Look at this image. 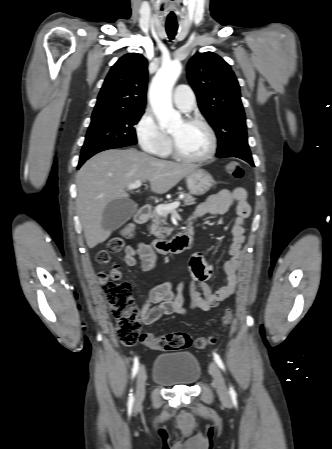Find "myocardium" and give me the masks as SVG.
<instances>
[{
  "mask_svg": "<svg viewBox=\"0 0 332 449\" xmlns=\"http://www.w3.org/2000/svg\"><path fill=\"white\" fill-rule=\"evenodd\" d=\"M183 121L187 124L200 125L205 129V131L207 132L208 137H209V142H210L209 149L202 156H188L179 150L173 137L170 136L171 150H172L173 155L182 161L192 162V163H203V162H207V161L211 160L217 151V137H216V134H215V131L213 130V128L210 126V124L208 122H206L204 119L199 118V117L191 116V117L185 118Z\"/></svg>",
  "mask_w": 332,
  "mask_h": 449,
  "instance_id": "myocardium-1",
  "label": "myocardium"
}]
</instances>
